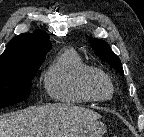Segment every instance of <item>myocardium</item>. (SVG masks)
<instances>
[{
    "mask_svg": "<svg viewBox=\"0 0 144 137\" xmlns=\"http://www.w3.org/2000/svg\"><path fill=\"white\" fill-rule=\"evenodd\" d=\"M97 79L106 81L111 89L110 95L107 97L100 96L95 89V82ZM83 91L94 101H108L114 96L115 87L111 77L103 70L90 67L82 77L81 81Z\"/></svg>",
    "mask_w": 144,
    "mask_h": 137,
    "instance_id": "f54148a6",
    "label": "myocardium"
}]
</instances>
